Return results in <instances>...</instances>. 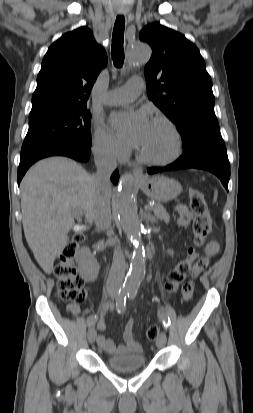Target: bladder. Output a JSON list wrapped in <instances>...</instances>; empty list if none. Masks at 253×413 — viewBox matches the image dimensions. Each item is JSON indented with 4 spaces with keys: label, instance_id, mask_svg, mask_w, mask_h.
Listing matches in <instances>:
<instances>
[{
    "label": "bladder",
    "instance_id": "obj_1",
    "mask_svg": "<svg viewBox=\"0 0 253 413\" xmlns=\"http://www.w3.org/2000/svg\"><path fill=\"white\" fill-rule=\"evenodd\" d=\"M107 364L116 371H133L146 365V357L142 352L113 355L107 358Z\"/></svg>",
    "mask_w": 253,
    "mask_h": 413
}]
</instances>
